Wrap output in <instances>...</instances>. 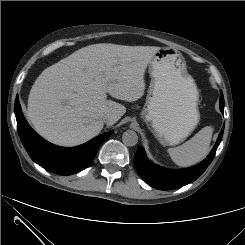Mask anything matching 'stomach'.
<instances>
[{
  "label": "stomach",
  "instance_id": "1",
  "mask_svg": "<svg viewBox=\"0 0 245 245\" xmlns=\"http://www.w3.org/2000/svg\"><path fill=\"white\" fill-rule=\"evenodd\" d=\"M149 74L151 82L141 117L163 145H177L199 123L197 86L183 55L169 47L155 53Z\"/></svg>",
  "mask_w": 245,
  "mask_h": 245
}]
</instances>
